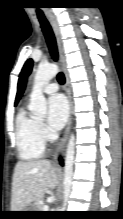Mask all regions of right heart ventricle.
<instances>
[{
	"label": "right heart ventricle",
	"instance_id": "e07e8e85",
	"mask_svg": "<svg viewBox=\"0 0 123 219\" xmlns=\"http://www.w3.org/2000/svg\"><path fill=\"white\" fill-rule=\"evenodd\" d=\"M16 145L19 157L24 161H34L42 157L45 150L39 123L21 109L16 117Z\"/></svg>",
	"mask_w": 123,
	"mask_h": 219
}]
</instances>
